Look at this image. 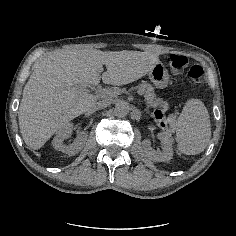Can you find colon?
<instances>
[{
  "label": "colon",
  "mask_w": 236,
  "mask_h": 236,
  "mask_svg": "<svg viewBox=\"0 0 236 236\" xmlns=\"http://www.w3.org/2000/svg\"><path fill=\"white\" fill-rule=\"evenodd\" d=\"M167 62L173 72L180 74L187 65L188 58L183 54L171 53L167 57ZM203 74V66L199 62L192 63L188 70L189 79L194 83H201ZM164 114L165 112L161 107H157L154 111V115L158 120H161L164 117Z\"/></svg>",
  "instance_id": "5ec220e1"
}]
</instances>
